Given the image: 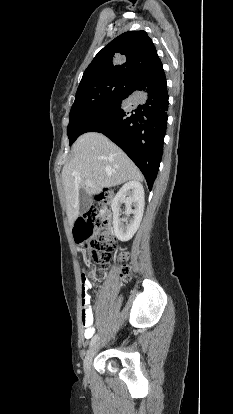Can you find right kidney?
Wrapping results in <instances>:
<instances>
[{"instance_id":"ca27d5eb","label":"right kidney","mask_w":233,"mask_h":414,"mask_svg":"<svg viewBox=\"0 0 233 414\" xmlns=\"http://www.w3.org/2000/svg\"><path fill=\"white\" fill-rule=\"evenodd\" d=\"M126 205V215L133 214L131 219L120 218L121 204ZM134 206V209H132ZM145 206L144 189L140 182L129 181L125 183L112 201L113 228L120 241H128L136 233L143 217Z\"/></svg>"}]
</instances>
